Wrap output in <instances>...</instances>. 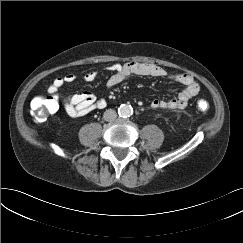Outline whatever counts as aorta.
<instances>
[{
	"mask_svg": "<svg viewBox=\"0 0 243 243\" xmlns=\"http://www.w3.org/2000/svg\"><path fill=\"white\" fill-rule=\"evenodd\" d=\"M133 113V108L128 104H121L118 108V114L121 117L127 118L130 117Z\"/></svg>",
	"mask_w": 243,
	"mask_h": 243,
	"instance_id": "obj_1",
	"label": "aorta"
}]
</instances>
